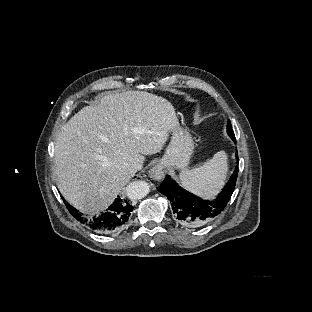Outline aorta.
I'll use <instances>...</instances> for the list:
<instances>
[{
    "label": "aorta",
    "instance_id": "1",
    "mask_svg": "<svg viewBox=\"0 0 312 312\" xmlns=\"http://www.w3.org/2000/svg\"><path fill=\"white\" fill-rule=\"evenodd\" d=\"M150 192V185L146 181H134L126 187L127 197L130 200H139Z\"/></svg>",
    "mask_w": 312,
    "mask_h": 312
}]
</instances>
